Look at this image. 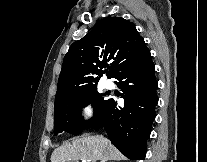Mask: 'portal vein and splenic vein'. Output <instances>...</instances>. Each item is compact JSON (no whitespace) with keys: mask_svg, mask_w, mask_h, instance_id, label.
I'll use <instances>...</instances> for the list:
<instances>
[{"mask_svg":"<svg viewBox=\"0 0 207 162\" xmlns=\"http://www.w3.org/2000/svg\"><path fill=\"white\" fill-rule=\"evenodd\" d=\"M82 162H91L90 160H82Z\"/></svg>","mask_w":207,"mask_h":162,"instance_id":"1","label":"portal vein and splenic vein"}]
</instances>
